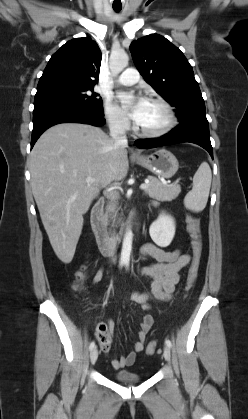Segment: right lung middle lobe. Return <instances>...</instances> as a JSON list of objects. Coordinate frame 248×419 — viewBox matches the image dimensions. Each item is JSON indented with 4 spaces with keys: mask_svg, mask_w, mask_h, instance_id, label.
<instances>
[{
    "mask_svg": "<svg viewBox=\"0 0 248 419\" xmlns=\"http://www.w3.org/2000/svg\"><path fill=\"white\" fill-rule=\"evenodd\" d=\"M93 88L85 87H65L38 91L35 95L34 106L50 103H75L83 105L90 110L103 114V103L101 98H97V93H92Z\"/></svg>",
    "mask_w": 248,
    "mask_h": 419,
    "instance_id": "right-lung-middle-lobe-1",
    "label": "right lung middle lobe"
}]
</instances>
